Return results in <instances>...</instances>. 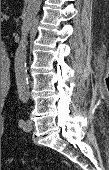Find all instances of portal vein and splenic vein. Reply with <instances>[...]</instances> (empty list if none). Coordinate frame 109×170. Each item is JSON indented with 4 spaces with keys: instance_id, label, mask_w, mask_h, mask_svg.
I'll use <instances>...</instances> for the list:
<instances>
[{
    "instance_id": "1",
    "label": "portal vein and splenic vein",
    "mask_w": 109,
    "mask_h": 170,
    "mask_svg": "<svg viewBox=\"0 0 109 170\" xmlns=\"http://www.w3.org/2000/svg\"><path fill=\"white\" fill-rule=\"evenodd\" d=\"M1 20H2V21H3V20H8V16H7V15H3Z\"/></svg>"
}]
</instances>
